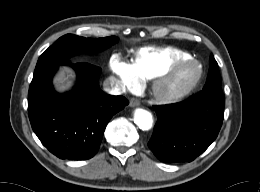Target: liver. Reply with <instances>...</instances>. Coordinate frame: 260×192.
<instances>
[{"label":"liver","instance_id":"obj_1","mask_svg":"<svg viewBox=\"0 0 260 192\" xmlns=\"http://www.w3.org/2000/svg\"><path fill=\"white\" fill-rule=\"evenodd\" d=\"M53 81L59 92L68 91L74 85L73 75L71 74V71L68 68H62L58 72V74H56Z\"/></svg>","mask_w":260,"mask_h":192}]
</instances>
